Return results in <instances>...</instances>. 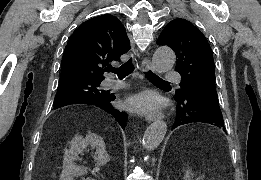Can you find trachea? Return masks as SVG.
Segmentation results:
<instances>
[{
    "mask_svg": "<svg viewBox=\"0 0 261 180\" xmlns=\"http://www.w3.org/2000/svg\"><path fill=\"white\" fill-rule=\"evenodd\" d=\"M134 65L132 63V59L128 60V62L123 63L121 67L119 68H113V67H107V72H113L118 75V78H124L127 77V75H130L134 71ZM146 77L150 80L152 83L156 84H169V82H166L165 80H162V78H159L155 73L151 72L149 70L148 72H145Z\"/></svg>",
    "mask_w": 261,
    "mask_h": 180,
    "instance_id": "3493384b",
    "label": "trachea"
}]
</instances>
